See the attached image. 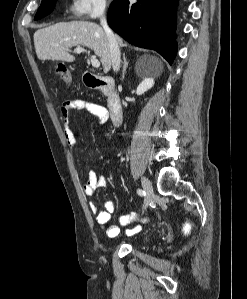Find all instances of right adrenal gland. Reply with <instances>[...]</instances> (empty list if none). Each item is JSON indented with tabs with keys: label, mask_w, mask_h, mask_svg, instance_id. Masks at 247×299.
<instances>
[{
	"label": "right adrenal gland",
	"mask_w": 247,
	"mask_h": 299,
	"mask_svg": "<svg viewBox=\"0 0 247 299\" xmlns=\"http://www.w3.org/2000/svg\"><path fill=\"white\" fill-rule=\"evenodd\" d=\"M127 66H128V61H127V59H126L125 53H123V69H122V77L125 76Z\"/></svg>",
	"instance_id": "right-adrenal-gland-1"
}]
</instances>
